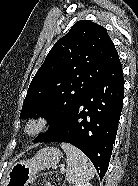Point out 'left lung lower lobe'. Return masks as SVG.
<instances>
[{"label": "left lung lower lobe", "mask_w": 138, "mask_h": 186, "mask_svg": "<svg viewBox=\"0 0 138 186\" xmlns=\"http://www.w3.org/2000/svg\"><path fill=\"white\" fill-rule=\"evenodd\" d=\"M124 78L120 60L90 89L57 131L39 142H65L79 148L100 179L108 169L123 107Z\"/></svg>", "instance_id": "obj_1"}]
</instances>
